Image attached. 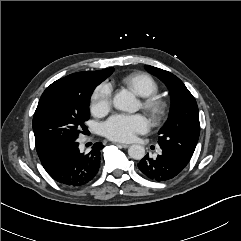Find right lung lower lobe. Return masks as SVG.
Segmentation results:
<instances>
[{"mask_svg": "<svg viewBox=\"0 0 241 241\" xmlns=\"http://www.w3.org/2000/svg\"><path fill=\"white\" fill-rule=\"evenodd\" d=\"M76 140L57 143L38 152L47 173L57 182L78 187L90 182L100 166L101 143H95L88 154L80 153Z\"/></svg>", "mask_w": 241, "mask_h": 241, "instance_id": "98d812e1", "label": "right lung lower lobe"}]
</instances>
